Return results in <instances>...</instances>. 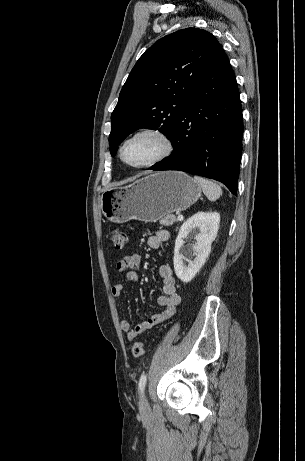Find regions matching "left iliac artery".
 <instances>
[{"mask_svg":"<svg viewBox=\"0 0 305 461\" xmlns=\"http://www.w3.org/2000/svg\"><path fill=\"white\" fill-rule=\"evenodd\" d=\"M146 381H147V376L146 374H143L141 375L140 379H139V384H138V388H139V391L142 393L144 391V388H145V385H146Z\"/></svg>","mask_w":305,"mask_h":461,"instance_id":"1","label":"left iliac artery"}]
</instances>
